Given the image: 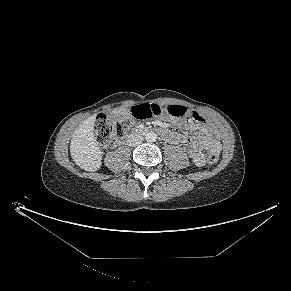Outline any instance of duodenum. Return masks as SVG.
Segmentation results:
<instances>
[{
  "instance_id": "duodenum-1",
  "label": "duodenum",
  "mask_w": 291,
  "mask_h": 291,
  "mask_svg": "<svg viewBox=\"0 0 291 291\" xmlns=\"http://www.w3.org/2000/svg\"><path fill=\"white\" fill-rule=\"evenodd\" d=\"M151 131H149V130H144V129H140L139 130V133H150Z\"/></svg>"
}]
</instances>
